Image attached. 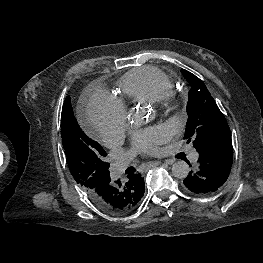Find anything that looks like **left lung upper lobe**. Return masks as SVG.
<instances>
[{"mask_svg": "<svg viewBox=\"0 0 263 263\" xmlns=\"http://www.w3.org/2000/svg\"><path fill=\"white\" fill-rule=\"evenodd\" d=\"M181 73L191 87L184 138L188 139V142L194 138L193 144L197 151L219 139L231 138L227 121L205 84L185 69H182Z\"/></svg>", "mask_w": 263, "mask_h": 263, "instance_id": "5c2ea615", "label": "left lung upper lobe"}]
</instances>
